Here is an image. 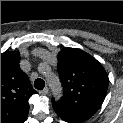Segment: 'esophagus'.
<instances>
[{"mask_svg": "<svg viewBox=\"0 0 123 123\" xmlns=\"http://www.w3.org/2000/svg\"><path fill=\"white\" fill-rule=\"evenodd\" d=\"M40 94L42 95H48L49 94V89L46 87L42 91H40Z\"/></svg>", "mask_w": 123, "mask_h": 123, "instance_id": "esophagus-1", "label": "esophagus"}]
</instances>
